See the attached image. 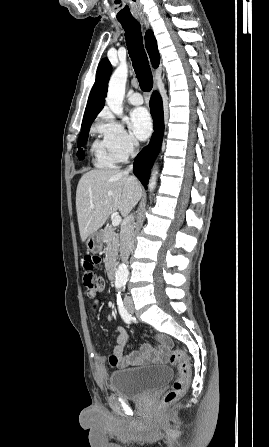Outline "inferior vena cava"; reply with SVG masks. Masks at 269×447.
<instances>
[{
    "mask_svg": "<svg viewBox=\"0 0 269 447\" xmlns=\"http://www.w3.org/2000/svg\"><path fill=\"white\" fill-rule=\"evenodd\" d=\"M133 146H135L133 152H130L132 158L136 156V148L139 146V142L137 140H132ZM130 170H133V166H129L128 170L124 172V174H128ZM134 216L130 214L125 218L123 224L121 225L120 231V255L122 261L127 263V259L130 255V251H132L133 243H134Z\"/></svg>",
    "mask_w": 269,
    "mask_h": 447,
    "instance_id": "obj_1",
    "label": "inferior vena cava"
}]
</instances>
